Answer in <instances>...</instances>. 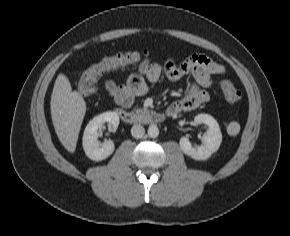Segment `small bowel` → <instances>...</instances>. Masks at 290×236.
I'll use <instances>...</instances> for the list:
<instances>
[{"label": "small bowel", "instance_id": "small-bowel-1", "mask_svg": "<svg viewBox=\"0 0 290 236\" xmlns=\"http://www.w3.org/2000/svg\"><path fill=\"white\" fill-rule=\"evenodd\" d=\"M225 73V67L212 60L209 56L194 53L180 64L168 59L160 64L145 58L138 71L131 74L127 83L118 85L112 79L104 81V88L113 102L122 109H129L136 97L149 90L150 83L159 81L163 76L177 81L185 76H192L193 81L183 98L173 102L167 108L169 115L197 108L209 99V90L213 84L212 76ZM226 82L222 81L221 84Z\"/></svg>", "mask_w": 290, "mask_h": 236}]
</instances>
